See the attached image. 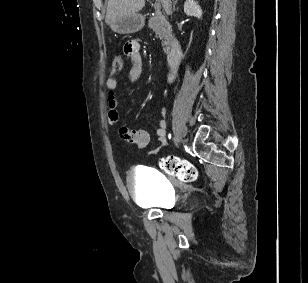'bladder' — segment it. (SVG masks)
<instances>
[{"instance_id":"1","label":"bladder","mask_w":308,"mask_h":283,"mask_svg":"<svg viewBox=\"0 0 308 283\" xmlns=\"http://www.w3.org/2000/svg\"><path fill=\"white\" fill-rule=\"evenodd\" d=\"M126 185L132 198L144 207H164L170 195V186L155 169L136 167L127 175Z\"/></svg>"}]
</instances>
